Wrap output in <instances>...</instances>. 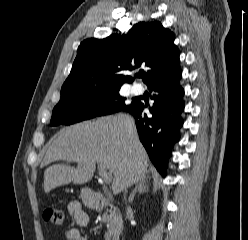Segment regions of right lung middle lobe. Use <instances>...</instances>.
<instances>
[{
  "label": "right lung middle lobe",
  "instance_id": "obj_1",
  "mask_svg": "<svg viewBox=\"0 0 248 240\" xmlns=\"http://www.w3.org/2000/svg\"><path fill=\"white\" fill-rule=\"evenodd\" d=\"M134 104L125 103L119 89H65L54 107L51 126L70 125L83 120L123 111Z\"/></svg>",
  "mask_w": 248,
  "mask_h": 240
}]
</instances>
